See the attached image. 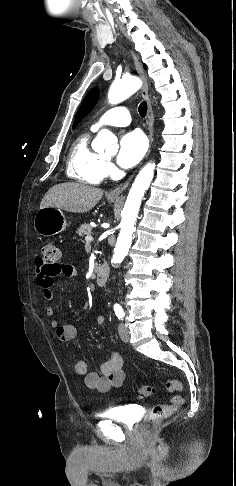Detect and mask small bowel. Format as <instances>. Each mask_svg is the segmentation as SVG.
<instances>
[{"instance_id": "c3829d8e", "label": "small bowel", "mask_w": 236, "mask_h": 486, "mask_svg": "<svg viewBox=\"0 0 236 486\" xmlns=\"http://www.w3.org/2000/svg\"><path fill=\"white\" fill-rule=\"evenodd\" d=\"M58 275H64L68 278H76L77 272L70 264H58L51 270H48L40 260L37 261V268L35 271V279L38 286L42 289L43 296L47 301L54 299L53 285L54 278ZM46 316L51 318V326L55 329L56 337L61 342H68L73 340L78 333L75 325L67 324L60 325L59 321L54 318V309L50 306L45 309ZM105 322V317L99 315L95 319L97 325H102ZM75 372L84 377V384L89 389L97 390L98 392H107L112 387H118L122 384L125 373L123 370L122 356L113 352L110 359L101 366V374L88 371L87 364L78 360L74 363Z\"/></svg>"}]
</instances>
